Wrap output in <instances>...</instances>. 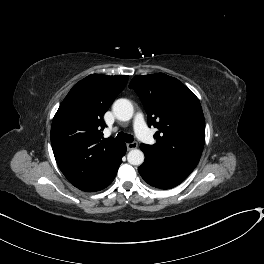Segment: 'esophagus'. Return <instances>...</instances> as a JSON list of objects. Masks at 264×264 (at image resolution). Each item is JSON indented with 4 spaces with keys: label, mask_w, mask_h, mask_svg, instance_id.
<instances>
[{
    "label": "esophagus",
    "mask_w": 264,
    "mask_h": 264,
    "mask_svg": "<svg viewBox=\"0 0 264 264\" xmlns=\"http://www.w3.org/2000/svg\"><path fill=\"white\" fill-rule=\"evenodd\" d=\"M138 147V143L137 142H132V143H128L127 144V149L131 150V149H136Z\"/></svg>",
    "instance_id": "34e87169"
}]
</instances>
